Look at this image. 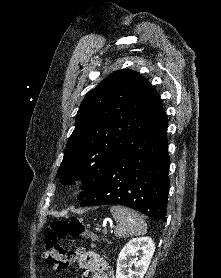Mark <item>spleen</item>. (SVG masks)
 Returning <instances> with one entry per match:
<instances>
[{
	"label": "spleen",
	"instance_id": "1",
	"mask_svg": "<svg viewBox=\"0 0 221 278\" xmlns=\"http://www.w3.org/2000/svg\"><path fill=\"white\" fill-rule=\"evenodd\" d=\"M110 212L118 223L114 232L117 237L127 238L147 232V224L137 212L123 206H111Z\"/></svg>",
	"mask_w": 221,
	"mask_h": 278
}]
</instances>
